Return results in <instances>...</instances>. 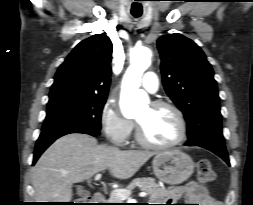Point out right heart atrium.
<instances>
[{
    "instance_id": "right-heart-atrium-1",
    "label": "right heart atrium",
    "mask_w": 253,
    "mask_h": 205,
    "mask_svg": "<svg viewBox=\"0 0 253 205\" xmlns=\"http://www.w3.org/2000/svg\"><path fill=\"white\" fill-rule=\"evenodd\" d=\"M100 125L107 140L116 146L125 145L133 131V122L122 116L110 100L101 109Z\"/></svg>"
}]
</instances>
